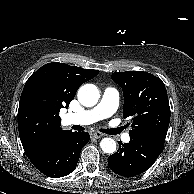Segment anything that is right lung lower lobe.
<instances>
[{"instance_id": "obj_1", "label": "right lung lower lobe", "mask_w": 194, "mask_h": 194, "mask_svg": "<svg viewBox=\"0 0 194 194\" xmlns=\"http://www.w3.org/2000/svg\"><path fill=\"white\" fill-rule=\"evenodd\" d=\"M87 132L63 131L26 153L31 163L51 178L68 175L77 166L81 149L89 142Z\"/></svg>"}]
</instances>
